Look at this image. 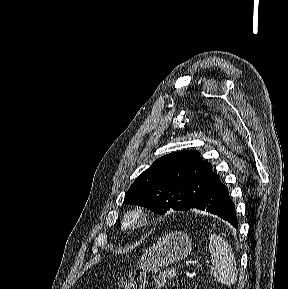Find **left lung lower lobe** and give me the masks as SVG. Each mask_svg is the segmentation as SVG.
<instances>
[{
    "label": "left lung lower lobe",
    "instance_id": "obj_1",
    "mask_svg": "<svg viewBox=\"0 0 288 289\" xmlns=\"http://www.w3.org/2000/svg\"><path fill=\"white\" fill-rule=\"evenodd\" d=\"M190 209L210 212L228 221L235 228L238 226L234 203L229 197L228 188L220 179L199 196Z\"/></svg>",
    "mask_w": 288,
    "mask_h": 289
}]
</instances>
